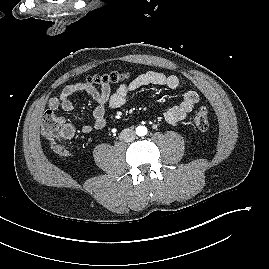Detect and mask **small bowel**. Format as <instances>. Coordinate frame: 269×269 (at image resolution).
<instances>
[{
  "instance_id": "c3829d8e",
  "label": "small bowel",
  "mask_w": 269,
  "mask_h": 269,
  "mask_svg": "<svg viewBox=\"0 0 269 269\" xmlns=\"http://www.w3.org/2000/svg\"><path fill=\"white\" fill-rule=\"evenodd\" d=\"M148 85H156L176 89L180 85V80L176 75H166L162 72L147 71L139 74L129 83L120 84L112 92L110 85H100L96 88L88 82H76L66 85L58 97H52L48 102V112H55L58 109L69 112L73 109L71 96L77 92L87 93L97 106L93 111L92 123L84 124L81 128L85 134L94 130H100L106 125V112L109 109H118L122 107L129 96L135 90ZM199 102V94L196 91H187L180 102L173 104L165 109L164 118L172 125L182 121ZM74 129L71 125L66 126V137L72 136Z\"/></svg>"
}]
</instances>
